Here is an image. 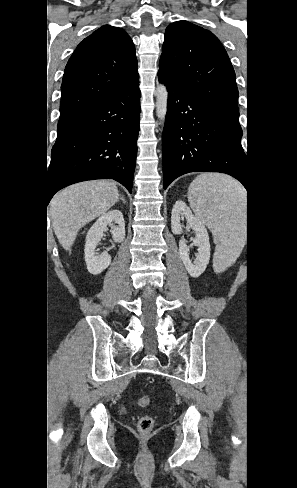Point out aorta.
Instances as JSON below:
<instances>
[{
    "mask_svg": "<svg viewBox=\"0 0 297 488\" xmlns=\"http://www.w3.org/2000/svg\"><path fill=\"white\" fill-rule=\"evenodd\" d=\"M168 104V91L164 84H158L156 90V115L164 123Z\"/></svg>",
    "mask_w": 297,
    "mask_h": 488,
    "instance_id": "aorta-1",
    "label": "aorta"
}]
</instances>
